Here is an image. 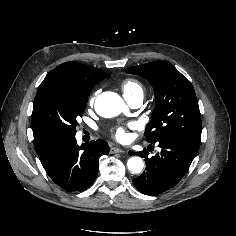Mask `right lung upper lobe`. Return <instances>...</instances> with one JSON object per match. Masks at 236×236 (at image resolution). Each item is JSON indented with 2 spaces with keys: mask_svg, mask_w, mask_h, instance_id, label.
Masks as SVG:
<instances>
[{
  "mask_svg": "<svg viewBox=\"0 0 236 236\" xmlns=\"http://www.w3.org/2000/svg\"><path fill=\"white\" fill-rule=\"evenodd\" d=\"M109 76V74L93 66L66 62L49 72L44 80H61L77 86L83 91H89L96 83Z\"/></svg>",
  "mask_w": 236,
  "mask_h": 236,
  "instance_id": "obj_1",
  "label": "right lung upper lobe"
}]
</instances>
